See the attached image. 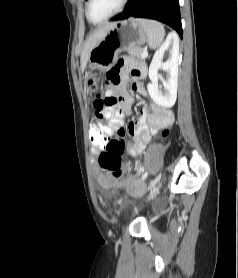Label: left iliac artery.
Returning <instances> with one entry per match:
<instances>
[{
  "mask_svg": "<svg viewBox=\"0 0 238 278\" xmlns=\"http://www.w3.org/2000/svg\"><path fill=\"white\" fill-rule=\"evenodd\" d=\"M147 176H148V172H145L141 177V181L145 180Z\"/></svg>",
  "mask_w": 238,
  "mask_h": 278,
  "instance_id": "44dca946",
  "label": "left iliac artery"
}]
</instances>
